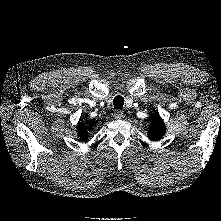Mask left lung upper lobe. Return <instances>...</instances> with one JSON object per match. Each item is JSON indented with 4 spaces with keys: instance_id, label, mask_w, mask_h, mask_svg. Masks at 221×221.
Here are the masks:
<instances>
[{
    "instance_id": "1",
    "label": "left lung upper lobe",
    "mask_w": 221,
    "mask_h": 221,
    "mask_svg": "<svg viewBox=\"0 0 221 221\" xmlns=\"http://www.w3.org/2000/svg\"><path fill=\"white\" fill-rule=\"evenodd\" d=\"M166 128L163 120L160 117H156L153 119L149 130L148 137L152 140H159L165 133Z\"/></svg>"
}]
</instances>
